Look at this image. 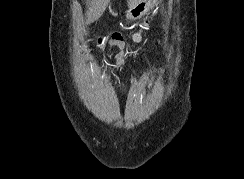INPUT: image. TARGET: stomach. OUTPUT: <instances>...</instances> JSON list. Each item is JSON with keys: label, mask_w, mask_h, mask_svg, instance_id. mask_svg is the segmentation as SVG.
Wrapping results in <instances>:
<instances>
[{"label": "stomach", "mask_w": 244, "mask_h": 179, "mask_svg": "<svg viewBox=\"0 0 244 179\" xmlns=\"http://www.w3.org/2000/svg\"><path fill=\"white\" fill-rule=\"evenodd\" d=\"M148 2H150V0H137V4H134V6L130 4V8L127 12V18H129V20H137V18H143L144 14L149 13V10L148 9L140 10V8L154 7L153 3H148Z\"/></svg>", "instance_id": "1"}]
</instances>
